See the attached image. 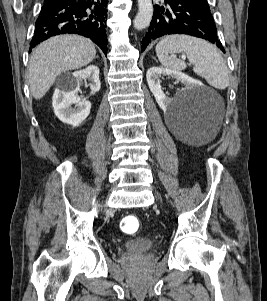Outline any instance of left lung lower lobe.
Listing matches in <instances>:
<instances>
[{
    "mask_svg": "<svg viewBox=\"0 0 267 301\" xmlns=\"http://www.w3.org/2000/svg\"><path fill=\"white\" fill-rule=\"evenodd\" d=\"M166 7L155 5L148 32L142 40L141 50L154 39L170 34L200 37L216 44L223 52L217 37L216 25L210 9L195 0H165Z\"/></svg>",
    "mask_w": 267,
    "mask_h": 301,
    "instance_id": "obj_1",
    "label": "left lung lower lobe"
}]
</instances>
